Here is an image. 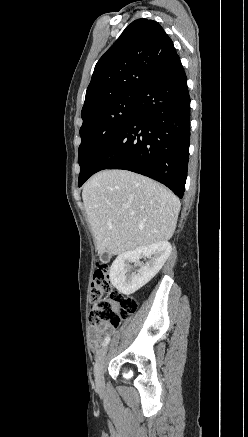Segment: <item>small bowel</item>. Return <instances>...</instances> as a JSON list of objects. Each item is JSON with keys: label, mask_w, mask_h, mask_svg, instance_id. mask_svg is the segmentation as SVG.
I'll list each match as a JSON object with an SVG mask.
<instances>
[{"label": "small bowel", "mask_w": 248, "mask_h": 437, "mask_svg": "<svg viewBox=\"0 0 248 437\" xmlns=\"http://www.w3.org/2000/svg\"><path fill=\"white\" fill-rule=\"evenodd\" d=\"M113 331H114L113 328L110 327L109 325H103L100 327L93 328L90 332L92 347L94 349H97L102 340V336L104 335L109 336L110 334L113 333Z\"/></svg>", "instance_id": "small-bowel-1"}]
</instances>
